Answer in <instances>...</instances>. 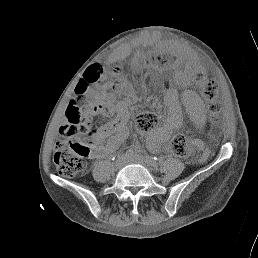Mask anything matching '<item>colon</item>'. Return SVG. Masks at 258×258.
I'll use <instances>...</instances> for the list:
<instances>
[{
	"instance_id": "colon-1",
	"label": "colon",
	"mask_w": 258,
	"mask_h": 258,
	"mask_svg": "<svg viewBox=\"0 0 258 258\" xmlns=\"http://www.w3.org/2000/svg\"><path fill=\"white\" fill-rule=\"evenodd\" d=\"M103 74L100 64L91 65L76 87L74 100L67 107L66 122L60 127L62 139L56 144L53 160L60 175L74 177L86 167V159L100 144V132L92 130L85 122L81 106L86 101V92L97 83ZM203 96L210 120H215L219 111L217 102L218 86L213 79H206L203 84ZM157 118L153 113H142L136 118V129L140 134H147L155 128ZM169 152L176 156L187 157L195 153L194 141L184 135L173 137L168 146Z\"/></svg>"
}]
</instances>
